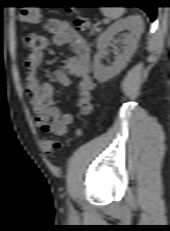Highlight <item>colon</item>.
<instances>
[{
    "mask_svg": "<svg viewBox=\"0 0 170 231\" xmlns=\"http://www.w3.org/2000/svg\"><path fill=\"white\" fill-rule=\"evenodd\" d=\"M20 20L25 23H38L42 20V14L40 10L36 8L26 7L20 11ZM75 26L78 30L86 31L90 28V22L83 16H77L75 19ZM28 50L32 49V45L27 47ZM80 129L75 130L73 135H80ZM64 145L63 141L57 140L53 137H45L42 140L43 150L48 154L52 155L62 149Z\"/></svg>",
    "mask_w": 170,
    "mask_h": 231,
    "instance_id": "colon-1",
    "label": "colon"
}]
</instances>
